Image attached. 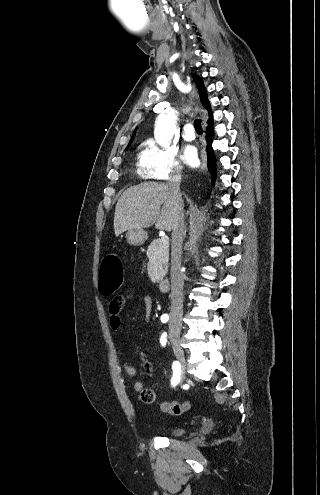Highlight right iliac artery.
<instances>
[{
	"mask_svg": "<svg viewBox=\"0 0 320 495\" xmlns=\"http://www.w3.org/2000/svg\"><path fill=\"white\" fill-rule=\"evenodd\" d=\"M161 322L166 323L169 320V316L167 314H163L161 316ZM172 369H173V378H172V386H176L177 383L180 381V372H181V366L178 361H174L172 364Z\"/></svg>",
	"mask_w": 320,
	"mask_h": 495,
	"instance_id": "obj_1",
	"label": "right iliac artery"
}]
</instances>
